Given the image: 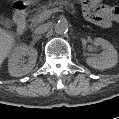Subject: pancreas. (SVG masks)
I'll list each match as a JSON object with an SVG mask.
<instances>
[{
    "label": "pancreas",
    "instance_id": "obj_1",
    "mask_svg": "<svg viewBox=\"0 0 119 119\" xmlns=\"http://www.w3.org/2000/svg\"><path fill=\"white\" fill-rule=\"evenodd\" d=\"M55 6H59L60 8L64 6H71L70 2L68 0H54L50 1L49 3L39 6L37 9H33L34 14H32V17L29 19L31 22L30 27H34L41 23L42 21L39 20V15L46 10H49L48 8H53Z\"/></svg>",
    "mask_w": 119,
    "mask_h": 119
}]
</instances>
